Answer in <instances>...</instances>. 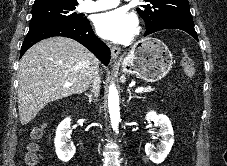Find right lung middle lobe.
Masks as SVG:
<instances>
[{"label": "right lung middle lobe", "mask_w": 227, "mask_h": 166, "mask_svg": "<svg viewBox=\"0 0 227 166\" xmlns=\"http://www.w3.org/2000/svg\"><path fill=\"white\" fill-rule=\"evenodd\" d=\"M74 3L50 2L33 5L30 28L50 22H71L82 24L87 21L81 14L74 12Z\"/></svg>", "instance_id": "right-lung-middle-lobe-1"}]
</instances>
